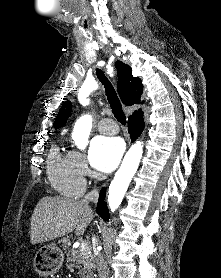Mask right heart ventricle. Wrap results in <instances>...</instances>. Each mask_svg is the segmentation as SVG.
Segmentation results:
<instances>
[{"instance_id": "obj_1", "label": "right heart ventricle", "mask_w": 221, "mask_h": 278, "mask_svg": "<svg viewBox=\"0 0 221 278\" xmlns=\"http://www.w3.org/2000/svg\"><path fill=\"white\" fill-rule=\"evenodd\" d=\"M47 169L52 186L61 195L79 197L83 194L85 182L77 172L70 152H63L57 146L53 147Z\"/></svg>"}]
</instances>
